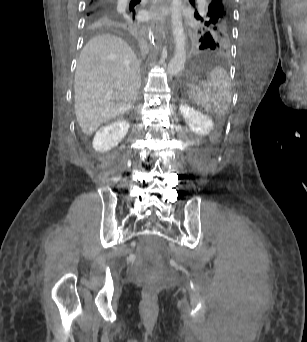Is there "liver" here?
<instances>
[{
	"instance_id": "liver-1",
	"label": "liver",
	"mask_w": 307,
	"mask_h": 342,
	"mask_svg": "<svg viewBox=\"0 0 307 342\" xmlns=\"http://www.w3.org/2000/svg\"><path fill=\"white\" fill-rule=\"evenodd\" d=\"M139 62L117 36L92 38L78 60L74 90L75 114L85 136L132 108L140 90Z\"/></svg>"
}]
</instances>
